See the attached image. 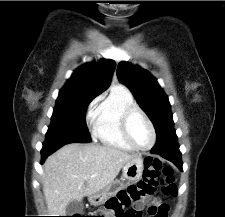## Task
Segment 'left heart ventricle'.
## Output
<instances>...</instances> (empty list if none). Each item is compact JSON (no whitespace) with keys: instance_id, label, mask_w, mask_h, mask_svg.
Instances as JSON below:
<instances>
[{"instance_id":"1","label":"left heart ventricle","mask_w":225,"mask_h":217,"mask_svg":"<svg viewBox=\"0 0 225 217\" xmlns=\"http://www.w3.org/2000/svg\"><path fill=\"white\" fill-rule=\"evenodd\" d=\"M130 132L133 141L140 147H148L152 142V134L145 119L136 114L130 122Z\"/></svg>"}]
</instances>
